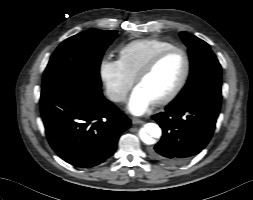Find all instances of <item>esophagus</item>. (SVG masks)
Here are the masks:
<instances>
[{
    "mask_svg": "<svg viewBox=\"0 0 253 200\" xmlns=\"http://www.w3.org/2000/svg\"><path fill=\"white\" fill-rule=\"evenodd\" d=\"M132 123L133 124H143L144 121L138 118H132Z\"/></svg>",
    "mask_w": 253,
    "mask_h": 200,
    "instance_id": "1",
    "label": "esophagus"
}]
</instances>
